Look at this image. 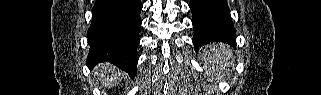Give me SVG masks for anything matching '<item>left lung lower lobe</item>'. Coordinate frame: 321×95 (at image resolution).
Instances as JSON below:
<instances>
[{"instance_id":"0a47b994","label":"left lung lower lobe","mask_w":321,"mask_h":95,"mask_svg":"<svg viewBox=\"0 0 321 95\" xmlns=\"http://www.w3.org/2000/svg\"><path fill=\"white\" fill-rule=\"evenodd\" d=\"M193 45L198 51L210 42L235 44V30L232 24L227 0H191Z\"/></svg>"}]
</instances>
